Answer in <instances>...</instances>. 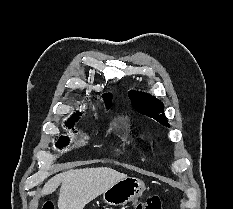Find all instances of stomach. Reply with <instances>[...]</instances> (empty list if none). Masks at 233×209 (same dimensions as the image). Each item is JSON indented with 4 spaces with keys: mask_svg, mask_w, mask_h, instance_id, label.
Instances as JSON below:
<instances>
[{
    "mask_svg": "<svg viewBox=\"0 0 233 209\" xmlns=\"http://www.w3.org/2000/svg\"><path fill=\"white\" fill-rule=\"evenodd\" d=\"M145 184L136 177H125L102 193L103 201L109 205H124L139 198Z\"/></svg>",
    "mask_w": 233,
    "mask_h": 209,
    "instance_id": "0dacf381",
    "label": "stomach"
}]
</instances>
